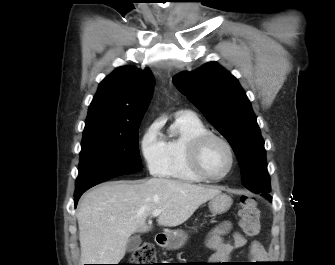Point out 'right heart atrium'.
<instances>
[{
	"label": "right heart atrium",
	"instance_id": "d8ad5b80",
	"mask_svg": "<svg viewBox=\"0 0 335 265\" xmlns=\"http://www.w3.org/2000/svg\"><path fill=\"white\" fill-rule=\"evenodd\" d=\"M140 149L150 173L162 176L166 168V149L158 122H153L146 129L141 138Z\"/></svg>",
	"mask_w": 335,
	"mask_h": 265
}]
</instances>
